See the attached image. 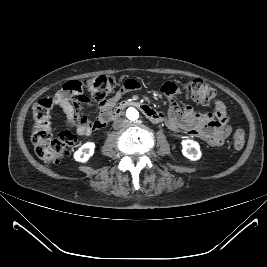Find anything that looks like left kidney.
<instances>
[{"instance_id": "obj_1", "label": "left kidney", "mask_w": 267, "mask_h": 267, "mask_svg": "<svg viewBox=\"0 0 267 267\" xmlns=\"http://www.w3.org/2000/svg\"><path fill=\"white\" fill-rule=\"evenodd\" d=\"M182 154L192 161H196L201 157L200 146L198 142L186 139L182 140Z\"/></svg>"}]
</instances>
